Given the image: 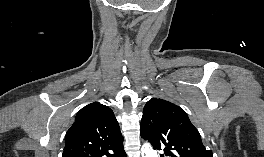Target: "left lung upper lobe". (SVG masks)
I'll list each match as a JSON object with an SVG mask.
<instances>
[{
    "mask_svg": "<svg viewBox=\"0 0 264 157\" xmlns=\"http://www.w3.org/2000/svg\"><path fill=\"white\" fill-rule=\"evenodd\" d=\"M141 137L154 149L164 150L167 157H213L212 151L205 149L186 112L163 99L152 98L146 103Z\"/></svg>",
    "mask_w": 264,
    "mask_h": 157,
    "instance_id": "obj_1",
    "label": "left lung upper lobe"
}]
</instances>
